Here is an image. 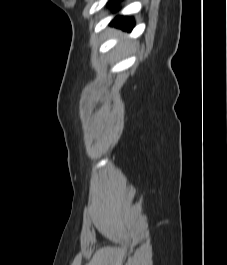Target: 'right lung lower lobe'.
Segmentation results:
<instances>
[{
    "label": "right lung lower lobe",
    "instance_id": "obj_1",
    "mask_svg": "<svg viewBox=\"0 0 227 265\" xmlns=\"http://www.w3.org/2000/svg\"><path fill=\"white\" fill-rule=\"evenodd\" d=\"M118 0H111L109 5L117 4ZM113 24L126 30H131L134 26L133 18L118 16L114 19Z\"/></svg>",
    "mask_w": 227,
    "mask_h": 265
}]
</instances>
